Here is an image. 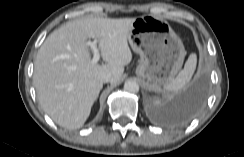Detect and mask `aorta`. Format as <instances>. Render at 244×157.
<instances>
[{
    "instance_id": "1",
    "label": "aorta",
    "mask_w": 244,
    "mask_h": 157,
    "mask_svg": "<svg viewBox=\"0 0 244 157\" xmlns=\"http://www.w3.org/2000/svg\"><path fill=\"white\" fill-rule=\"evenodd\" d=\"M124 90L129 93H137L139 91V85L134 80H127L124 83Z\"/></svg>"
}]
</instances>
